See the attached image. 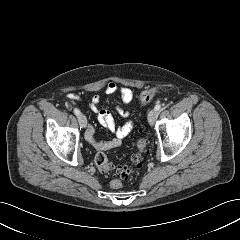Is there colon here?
Here are the masks:
<instances>
[{"label": "colon", "instance_id": "5ec220e1", "mask_svg": "<svg viewBox=\"0 0 240 240\" xmlns=\"http://www.w3.org/2000/svg\"><path fill=\"white\" fill-rule=\"evenodd\" d=\"M157 90L155 88L147 89L143 91L140 95V101L142 103H149L156 95ZM145 141L140 140L137 143V152L132 155L128 164H124L118 167H113V165L108 161L107 157L103 153L96 154L94 162L100 171L104 174L114 173L118 177L114 178L110 182V186L113 189H119L123 186V180L126 179L132 171L133 166H138L142 161V152L145 149Z\"/></svg>", "mask_w": 240, "mask_h": 240}]
</instances>
